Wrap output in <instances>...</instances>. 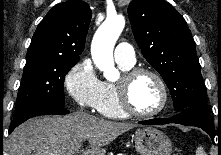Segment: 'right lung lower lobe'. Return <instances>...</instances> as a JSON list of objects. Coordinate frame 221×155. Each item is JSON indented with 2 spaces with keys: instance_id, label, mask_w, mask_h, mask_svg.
<instances>
[{
  "instance_id": "right-lung-lower-lobe-1",
  "label": "right lung lower lobe",
  "mask_w": 221,
  "mask_h": 155,
  "mask_svg": "<svg viewBox=\"0 0 221 155\" xmlns=\"http://www.w3.org/2000/svg\"><path fill=\"white\" fill-rule=\"evenodd\" d=\"M69 113L67 109L64 108L63 106H42L34 110L33 112L18 118L14 119L10 125L9 133H11L15 127L23 123L24 121L28 120L29 118L35 117V116H40V115H47V114H67Z\"/></svg>"
}]
</instances>
